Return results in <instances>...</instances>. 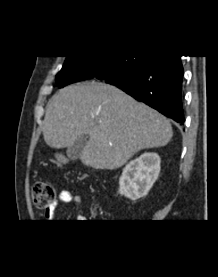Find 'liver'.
Segmentation results:
<instances>
[{"instance_id": "1", "label": "liver", "mask_w": 218, "mask_h": 277, "mask_svg": "<svg viewBox=\"0 0 218 277\" xmlns=\"http://www.w3.org/2000/svg\"><path fill=\"white\" fill-rule=\"evenodd\" d=\"M81 162L95 169L123 166L142 149L165 146L170 122L118 88L100 82L71 85L48 102L43 137L51 148H66L84 136Z\"/></svg>"}]
</instances>
